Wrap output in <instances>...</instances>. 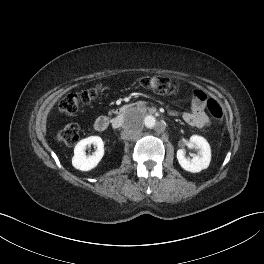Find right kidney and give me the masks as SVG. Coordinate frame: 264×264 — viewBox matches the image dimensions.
Returning <instances> with one entry per match:
<instances>
[{
    "mask_svg": "<svg viewBox=\"0 0 264 264\" xmlns=\"http://www.w3.org/2000/svg\"><path fill=\"white\" fill-rule=\"evenodd\" d=\"M91 144L97 147L96 151L91 156L86 155V148ZM104 155V143L99 136H90L80 140L74 148V156L72 165L74 168L81 171H89L95 168L101 161Z\"/></svg>",
    "mask_w": 264,
    "mask_h": 264,
    "instance_id": "ca27d5eb",
    "label": "right kidney"
}]
</instances>
